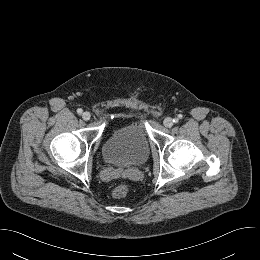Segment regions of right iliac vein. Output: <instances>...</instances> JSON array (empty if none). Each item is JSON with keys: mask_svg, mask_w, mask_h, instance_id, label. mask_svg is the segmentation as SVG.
I'll return each mask as SVG.
<instances>
[{"mask_svg": "<svg viewBox=\"0 0 260 260\" xmlns=\"http://www.w3.org/2000/svg\"><path fill=\"white\" fill-rule=\"evenodd\" d=\"M90 117H91V114H90V112H88V111H86V112H84V113L82 114V118H83L85 121L89 120Z\"/></svg>", "mask_w": 260, "mask_h": 260, "instance_id": "1", "label": "right iliac vein"}]
</instances>
